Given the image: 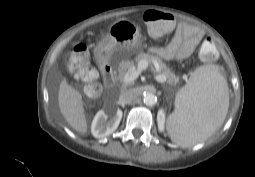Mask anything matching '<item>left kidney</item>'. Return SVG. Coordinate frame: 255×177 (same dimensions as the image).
Masks as SVG:
<instances>
[{
	"mask_svg": "<svg viewBox=\"0 0 255 177\" xmlns=\"http://www.w3.org/2000/svg\"><path fill=\"white\" fill-rule=\"evenodd\" d=\"M164 122H165V113H164L163 110H160L158 112V125H159L160 128L163 127Z\"/></svg>",
	"mask_w": 255,
	"mask_h": 177,
	"instance_id": "1",
	"label": "left kidney"
}]
</instances>
